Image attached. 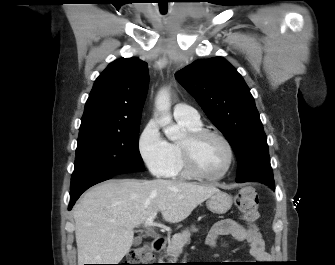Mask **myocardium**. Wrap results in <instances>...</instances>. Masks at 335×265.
I'll return each instance as SVG.
<instances>
[{"label":"myocardium","mask_w":335,"mask_h":265,"mask_svg":"<svg viewBox=\"0 0 335 265\" xmlns=\"http://www.w3.org/2000/svg\"><path fill=\"white\" fill-rule=\"evenodd\" d=\"M207 137H215L221 140L228 151V161L223 169L217 175H207L203 173L197 166L195 161V149L197 145ZM180 149L183 159V164L186 171L194 178L204 181H218L224 178L231 170L235 161V151L230 140L222 133L211 129H200L187 134L184 140L180 142Z\"/></svg>","instance_id":"myocardium-1"}]
</instances>
